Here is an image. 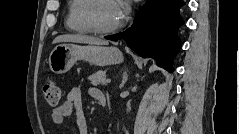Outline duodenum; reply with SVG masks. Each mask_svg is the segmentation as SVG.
Returning a JSON list of instances; mask_svg holds the SVG:
<instances>
[{
	"label": "duodenum",
	"mask_w": 239,
	"mask_h": 134,
	"mask_svg": "<svg viewBox=\"0 0 239 134\" xmlns=\"http://www.w3.org/2000/svg\"><path fill=\"white\" fill-rule=\"evenodd\" d=\"M100 102H101V104H102L103 106H107L108 101H107V98H106L105 95H103V96L101 97Z\"/></svg>",
	"instance_id": "1"
}]
</instances>
